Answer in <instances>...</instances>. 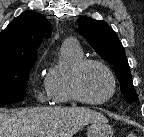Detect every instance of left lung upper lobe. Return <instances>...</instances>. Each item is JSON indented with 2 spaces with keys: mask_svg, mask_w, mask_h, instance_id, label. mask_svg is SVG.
Listing matches in <instances>:
<instances>
[{
  "mask_svg": "<svg viewBox=\"0 0 144 137\" xmlns=\"http://www.w3.org/2000/svg\"><path fill=\"white\" fill-rule=\"evenodd\" d=\"M78 26L81 35L86 38L93 49L113 65L126 101L128 103L136 102L137 94L132 84L126 53L113 29L107 23L87 16L78 19Z\"/></svg>",
  "mask_w": 144,
  "mask_h": 137,
  "instance_id": "5c2ea615",
  "label": "left lung upper lobe"
}]
</instances>
